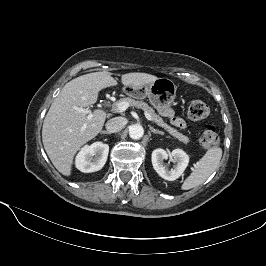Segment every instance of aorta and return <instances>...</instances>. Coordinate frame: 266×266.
Listing matches in <instances>:
<instances>
[{"label": "aorta", "mask_w": 266, "mask_h": 266, "mask_svg": "<svg viewBox=\"0 0 266 266\" xmlns=\"http://www.w3.org/2000/svg\"><path fill=\"white\" fill-rule=\"evenodd\" d=\"M144 135V129L141 125L139 124H134L130 126L129 128V136L132 139L139 140L143 137Z\"/></svg>", "instance_id": "762f6f07"}]
</instances>
